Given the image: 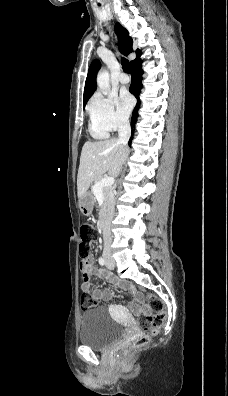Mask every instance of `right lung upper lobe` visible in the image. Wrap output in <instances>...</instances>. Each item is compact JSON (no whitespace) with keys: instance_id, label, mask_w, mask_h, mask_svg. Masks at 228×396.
Returning <instances> with one entry per match:
<instances>
[{"instance_id":"right-lung-upper-lobe-1","label":"right lung upper lobe","mask_w":228,"mask_h":396,"mask_svg":"<svg viewBox=\"0 0 228 396\" xmlns=\"http://www.w3.org/2000/svg\"><path fill=\"white\" fill-rule=\"evenodd\" d=\"M115 32L118 35L120 45L123 50V54L128 55L131 52H133V48H132L133 40L129 36L128 31L120 23H116ZM136 54H137L136 59L130 62L131 66H133L135 63H137L140 60V55H141L140 50H137ZM100 66L101 65L98 60H94L90 65L85 82V89L83 96L84 104H86L88 99L93 95L94 91L96 90V75H97V71L100 69Z\"/></svg>"}]
</instances>
